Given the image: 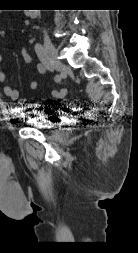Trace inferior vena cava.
Returning <instances> with one entry per match:
<instances>
[{
    "mask_svg": "<svg viewBox=\"0 0 138 253\" xmlns=\"http://www.w3.org/2000/svg\"><path fill=\"white\" fill-rule=\"evenodd\" d=\"M44 35H45V37H47V33H46V31H44Z\"/></svg>",
    "mask_w": 138,
    "mask_h": 253,
    "instance_id": "1",
    "label": "inferior vena cava"
}]
</instances>
